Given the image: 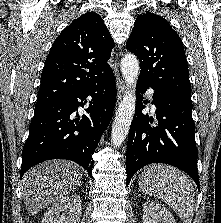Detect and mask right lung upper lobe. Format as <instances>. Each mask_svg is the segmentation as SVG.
Listing matches in <instances>:
<instances>
[{"label":"right lung upper lobe","instance_id":"1","mask_svg":"<svg viewBox=\"0 0 221 223\" xmlns=\"http://www.w3.org/2000/svg\"><path fill=\"white\" fill-rule=\"evenodd\" d=\"M113 39L97 13L74 20L54 41L41 75L36 106L72 94L111 70Z\"/></svg>","mask_w":221,"mask_h":223}]
</instances>
